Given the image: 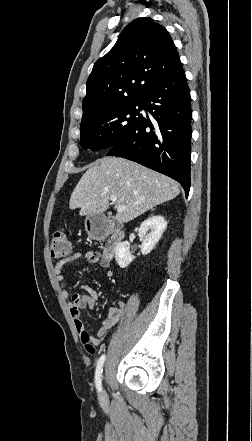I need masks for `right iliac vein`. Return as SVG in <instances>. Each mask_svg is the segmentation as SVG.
<instances>
[{"label": "right iliac vein", "instance_id": "63e3f726", "mask_svg": "<svg viewBox=\"0 0 252 441\" xmlns=\"http://www.w3.org/2000/svg\"><path fill=\"white\" fill-rule=\"evenodd\" d=\"M100 397H101L102 399L106 398V394H105V392H102V393L100 394Z\"/></svg>", "mask_w": 252, "mask_h": 441}]
</instances>
